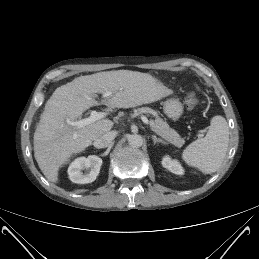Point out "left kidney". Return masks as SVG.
<instances>
[{"mask_svg": "<svg viewBox=\"0 0 259 259\" xmlns=\"http://www.w3.org/2000/svg\"><path fill=\"white\" fill-rule=\"evenodd\" d=\"M162 165L174 174L182 175L184 173L181 164L176 160H172L169 156H165L162 159Z\"/></svg>", "mask_w": 259, "mask_h": 259, "instance_id": "5707ae66", "label": "left kidney"}]
</instances>
